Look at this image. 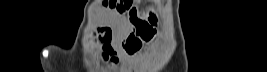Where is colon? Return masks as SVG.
I'll use <instances>...</instances> for the list:
<instances>
[{"mask_svg": "<svg viewBox=\"0 0 267 72\" xmlns=\"http://www.w3.org/2000/svg\"><path fill=\"white\" fill-rule=\"evenodd\" d=\"M108 2L118 11H129L130 13V21L134 32L125 40L124 48L128 53L138 50L143 42L151 39L154 34L153 26L156 23V18L153 13H149L148 16L143 17L136 8L132 7V1L130 0H113ZM103 49L111 50L107 43L103 44Z\"/></svg>", "mask_w": 267, "mask_h": 72, "instance_id": "colon-1", "label": "colon"}]
</instances>
